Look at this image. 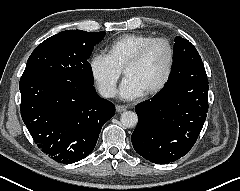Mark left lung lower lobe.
<instances>
[{"instance_id":"left-lung-lower-lobe-1","label":"left lung lower lobe","mask_w":240,"mask_h":191,"mask_svg":"<svg viewBox=\"0 0 240 191\" xmlns=\"http://www.w3.org/2000/svg\"><path fill=\"white\" fill-rule=\"evenodd\" d=\"M205 68L180 64L152 99L139 103L131 140L135 151L156 164L186 155L195 144L208 110Z\"/></svg>"}]
</instances>
